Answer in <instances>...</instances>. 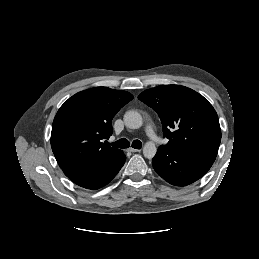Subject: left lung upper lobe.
Wrapping results in <instances>:
<instances>
[{"label":"left lung upper lobe","instance_id":"left-lung-upper-lobe-1","mask_svg":"<svg viewBox=\"0 0 259 259\" xmlns=\"http://www.w3.org/2000/svg\"><path fill=\"white\" fill-rule=\"evenodd\" d=\"M138 99L159 115L164 145L182 154L216 156L221 130L216 111L199 93L181 85H160L142 92Z\"/></svg>","mask_w":259,"mask_h":259}]
</instances>
